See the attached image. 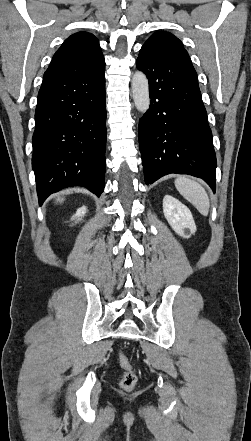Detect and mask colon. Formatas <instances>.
<instances>
[{
	"label": "colon",
	"mask_w": 251,
	"mask_h": 441,
	"mask_svg": "<svg viewBox=\"0 0 251 441\" xmlns=\"http://www.w3.org/2000/svg\"><path fill=\"white\" fill-rule=\"evenodd\" d=\"M118 363L123 369V374L120 379V386L124 390H132L137 384L138 377L131 362L123 353H119Z\"/></svg>",
	"instance_id": "obj_1"
}]
</instances>
